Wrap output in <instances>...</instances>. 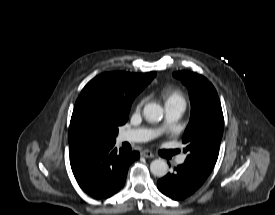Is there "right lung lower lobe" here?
Returning <instances> with one entry per match:
<instances>
[{
  "instance_id": "obj_1",
  "label": "right lung lower lobe",
  "mask_w": 275,
  "mask_h": 215,
  "mask_svg": "<svg viewBox=\"0 0 275 215\" xmlns=\"http://www.w3.org/2000/svg\"><path fill=\"white\" fill-rule=\"evenodd\" d=\"M115 141L84 146L70 153V164L79 186L94 198L117 193L126 180L129 165L139 152H118Z\"/></svg>"
}]
</instances>
